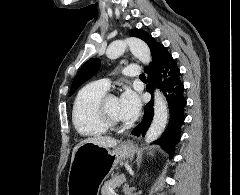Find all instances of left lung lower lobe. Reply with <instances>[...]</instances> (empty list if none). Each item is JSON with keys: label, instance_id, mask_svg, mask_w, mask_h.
<instances>
[{"label": "left lung lower lobe", "instance_id": "0a47b994", "mask_svg": "<svg viewBox=\"0 0 240 195\" xmlns=\"http://www.w3.org/2000/svg\"><path fill=\"white\" fill-rule=\"evenodd\" d=\"M148 74L147 91L153 93V84H157L166 97L170 112L168 127L155 143L162 146L165 151L173 156L174 146L180 138V128L184 122V108L186 106L180 70L176 61L169 55L160 61ZM153 105V100L145 105L143 120L132 131L133 135H145L153 119Z\"/></svg>", "mask_w": 240, "mask_h": 195}]
</instances>
